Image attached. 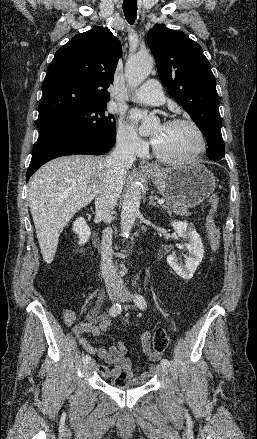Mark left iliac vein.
<instances>
[{"label":"left iliac vein","mask_w":257,"mask_h":439,"mask_svg":"<svg viewBox=\"0 0 257 439\" xmlns=\"http://www.w3.org/2000/svg\"><path fill=\"white\" fill-rule=\"evenodd\" d=\"M131 298H132V296H131L130 292L127 290H123L119 295V299L121 302H128L131 300ZM158 372L161 375L166 376L168 374L167 366L160 365L158 367Z\"/></svg>","instance_id":"4c4485c4"}]
</instances>
